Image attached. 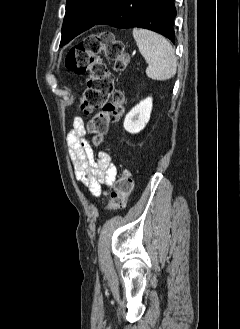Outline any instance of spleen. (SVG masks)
Instances as JSON below:
<instances>
[{
    "label": "spleen",
    "mask_w": 240,
    "mask_h": 329,
    "mask_svg": "<svg viewBox=\"0 0 240 329\" xmlns=\"http://www.w3.org/2000/svg\"><path fill=\"white\" fill-rule=\"evenodd\" d=\"M133 37L148 67L146 75L157 81L171 79L177 71V58L169 41L146 29H133Z\"/></svg>",
    "instance_id": "3e777b00"
}]
</instances>
